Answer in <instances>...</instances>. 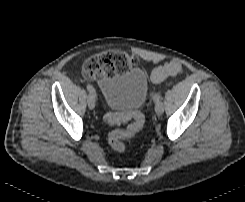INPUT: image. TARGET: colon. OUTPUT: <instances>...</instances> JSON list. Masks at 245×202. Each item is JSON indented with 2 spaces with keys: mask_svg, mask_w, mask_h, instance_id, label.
I'll return each instance as SVG.
<instances>
[{
  "mask_svg": "<svg viewBox=\"0 0 245 202\" xmlns=\"http://www.w3.org/2000/svg\"><path fill=\"white\" fill-rule=\"evenodd\" d=\"M131 65L130 57L123 51H104L90 56L83 64V73L86 77L96 79L100 77H111L115 74L125 73ZM182 72V65L177 60H172L154 70V77L163 81L169 75ZM131 123L125 128L116 129L108 135L109 146L117 151L126 150V140L134 136L144 126L145 118L140 111H132L128 114ZM104 121L109 124H117L121 118L112 113L104 115Z\"/></svg>",
  "mask_w": 245,
  "mask_h": 202,
  "instance_id": "obj_1",
  "label": "colon"
}]
</instances>
